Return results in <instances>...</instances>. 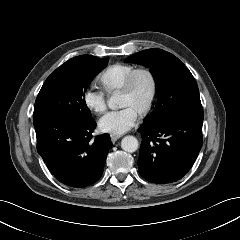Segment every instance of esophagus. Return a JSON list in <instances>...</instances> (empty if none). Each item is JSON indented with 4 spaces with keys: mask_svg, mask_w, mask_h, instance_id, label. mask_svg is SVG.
<instances>
[{
    "mask_svg": "<svg viewBox=\"0 0 240 240\" xmlns=\"http://www.w3.org/2000/svg\"><path fill=\"white\" fill-rule=\"evenodd\" d=\"M119 138H120V136H118V135H111V141L113 143H115Z\"/></svg>",
    "mask_w": 240,
    "mask_h": 240,
    "instance_id": "34e87169",
    "label": "esophagus"
}]
</instances>
